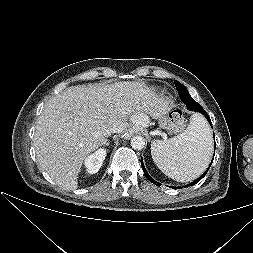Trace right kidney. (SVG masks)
Here are the masks:
<instances>
[{
	"instance_id": "ca27d5eb",
	"label": "right kidney",
	"mask_w": 253,
	"mask_h": 253,
	"mask_svg": "<svg viewBox=\"0 0 253 253\" xmlns=\"http://www.w3.org/2000/svg\"><path fill=\"white\" fill-rule=\"evenodd\" d=\"M106 154L107 153L105 149H99L86 158L85 167L89 174H95L99 171L106 157Z\"/></svg>"
}]
</instances>
